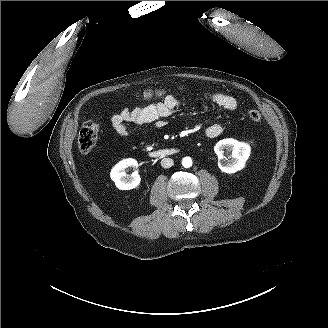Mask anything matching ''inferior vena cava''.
<instances>
[{
  "label": "inferior vena cava",
  "mask_w": 328,
  "mask_h": 328,
  "mask_svg": "<svg viewBox=\"0 0 328 328\" xmlns=\"http://www.w3.org/2000/svg\"><path fill=\"white\" fill-rule=\"evenodd\" d=\"M174 165V162L171 158H164L161 160V166L163 168H170Z\"/></svg>",
  "instance_id": "inferior-vena-cava-1"
}]
</instances>
